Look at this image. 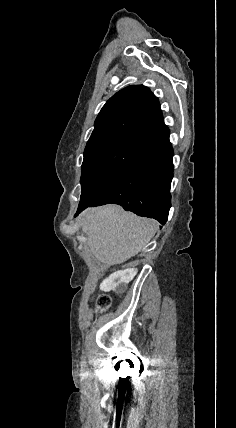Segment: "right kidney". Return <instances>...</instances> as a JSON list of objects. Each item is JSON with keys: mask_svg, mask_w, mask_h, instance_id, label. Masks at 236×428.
<instances>
[{"mask_svg": "<svg viewBox=\"0 0 236 428\" xmlns=\"http://www.w3.org/2000/svg\"><path fill=\"white\" fill-rule=\"evenodd\" d=\"M108 277L105 278V289L107 286H117L118 292H128L129 291V282L133 280L134 276L137 274L136 268H129V270H121L117 272L116 269L108 270Z\"/></svg>", "mask_w": 236, "mask_h": 428, "instance_id": "obj_1", "label": "right kidney"}]
</instances>
